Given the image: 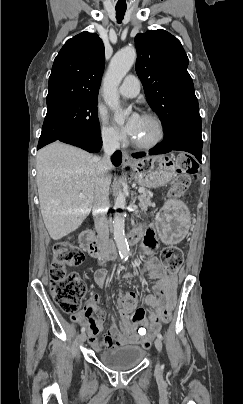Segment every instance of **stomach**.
Wrapping results in <instances>:
<instances>
[{"label":"stomach","mask_w":243,"mask_h":404,"mask_svg":"<svg viewBox=\"0 0 243 404\" xmlns=\"http://www.w3.org/2000/svg\"><path fill=\"white\" fill-rule=\"evenodd\" d=\"M135 181L144 187L167 185L176 176L174 160L167 155L147 156L130 164ZM190 213L184 203L169 200L156 215V224L166 244H176L190 227Z\"/></svg>","instance_id":"obj_1"}]
</instances>
